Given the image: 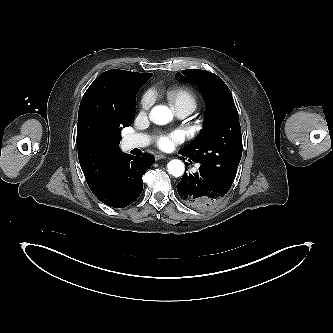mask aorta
<instances>
[{"label": "aorta", "instance_id": "1", "mask_svg": "<svg viewBox=\"0 0 333 333\" xmlns=\"http://www.w3.org/2000/svg\"><path fill=\"white\" fill-rule=\"evenodd\" d=\"M173 118L171 110L163 105H157L152 108L150 112V119L159 125H164L169 123ZM168 172L174 177H179L183 175L185 167L181 160H171L168 165Z\"/></svg>", "mask_w": 333, "mask_h": 333}]
</instances>
